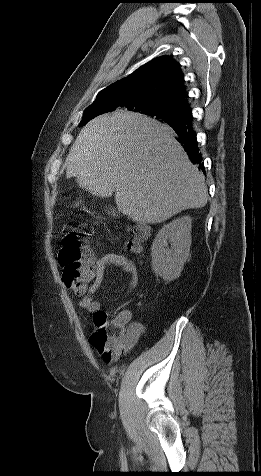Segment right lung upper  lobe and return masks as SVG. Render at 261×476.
Wrapping results in <instances>:
<instances>
[{"mask_svg":"<svg viewBox=\"0 0 261 476\" xmlns=\"http://www.w3.org/2000/svg\"><path fill=\"white\" fill-rule=\"evenodd\" d=\"M113 94L119 95L121 109L157 102L184 112L191 111L180 67L167 56L148 62L131 75L103 89L96 100Z\"/></svg>","mask_w":261,"mask_h":476,"instance_id":"right-lung-upper-lobe-1","label":"right lung upper lobe"}]
</instances>
